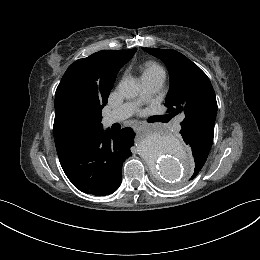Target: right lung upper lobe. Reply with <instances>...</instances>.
Returning <instances> with one entry per match:
<instances>
[{"instance_id": "1", "label": "right lung upper lobe", "mask_w": 260, "mask_h": 260, "mask_svg": "<svg viewBox=\"0 0 260 260\" xmlns=\"http://www.w3.org/2000/svg\"><path fill=\"white\" fill-rule=\"evenodd\" d=\"M131 50H103L72 63L64 73L55 93L54 141L56 148L83 132L102 128L99 121L78 125L65 115L61 97L72 89L79 93L98 92L101 97L110 94L119 69L136 52Z\"/></svg>"}]
</instances>
